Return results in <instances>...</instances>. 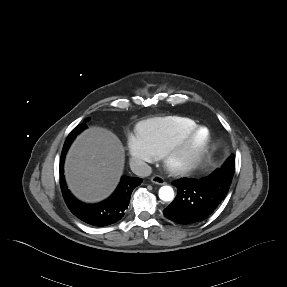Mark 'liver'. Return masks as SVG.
<instances>
[{
	"mask_svg": "<svg viewBox=\"0 0 287 287\" xmlns=\"http://www.w3.org/2000/svg\"><path fill=\"white\" fill-rule=\"evenodd\" d=\"M124 147L111 131L91 127L71 145L65 161V177L71 192L85 202L108 197L122 175Z\"/></svg>",
	"mask_w": 287,
	"mask_h": 287,
	"instance_id": "obj_1",
	"label": "liver"
}]
</instances>
